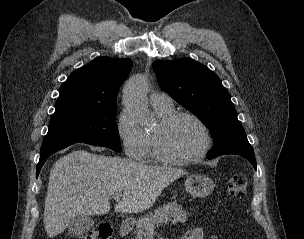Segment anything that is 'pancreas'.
Masks as SVG:
<instances>
[{"label": "pancreas", "mask_w": 304, "mask_h": 239, "mask_svg": "<svg viewBox=\"0 0 304 239\" xmlns=\"http://www.w3.org/2000/svg\"><path fill=\"white\" fill-rule=\"evenodd\" d=\"M189 213L182 209L176 202L164 204L154 210L153 213L146 214L144 218H140L136 223V239H144L146 232L155 225L161 223L177 224L184 223L188 220Z\"/></svg>", "instance_id": "pancreas-1"}]
</instances>
